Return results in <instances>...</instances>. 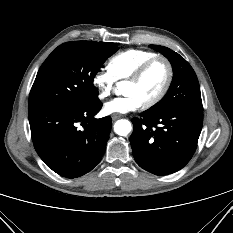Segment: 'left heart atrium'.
Returning a JSON list of instances; mask_svg holds the SVG:
<instances>
[{
	"label": "left heart atrium",
	"instance_id": "1",
	"mask_svg": "<svg viewBox=\"0 0 233 233\" xmlns=\"http://www.w3.org/2000/svg\"><path fill=\"white\" fill-rule=\"evenodd\" d=\"M142 104L136 95L129 93L106 102L104 110L108 114H124L138 110Z\"/></svg>",
	"mask_w": 233,
	"mask_h": 233
}]
</instances>
